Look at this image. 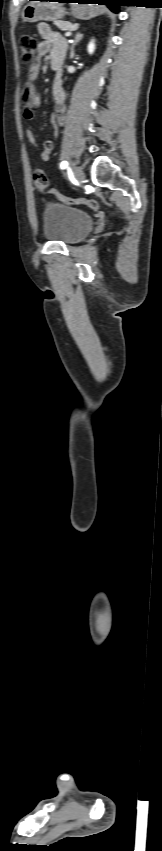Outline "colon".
I'll use <instances>...</instances> for the list:
<instances>
[{
	"label": "colon",
	"mask_w": 162,
	"mask_h": 851,
	"mask_svg": "<svg viewBox=\"0 0 162 851\" xmlns=\"http://www.w3.org/2000/svg\"><path fill=\"white\" fill-rule=\"evenodd\" d=\"M38 43L34 34L25 32L21 34L19 39V48L21 53L22 60L29 64L30 66L35 61V54L37 51ZM33 181L36 188L42 192L47 193L55 198H57L62 203L67 205H75V206H86L91 209L96 210L98 208L97 201L88 198H70L62 195L56 188L49 187V179L46 173L41 169H36L33 173Z\"/></svg>",
	"instance_id": "colon-1"
}]
</instances>
